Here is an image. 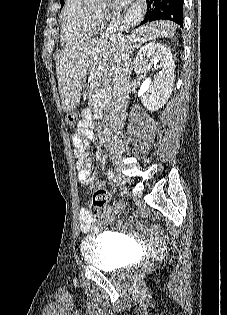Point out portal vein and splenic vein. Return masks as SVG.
Masks as SVG:
<instances>
[{"mask_svg": "<svg viewBox=\"0 0 227 315\" xmlns=\"http://www.w3.org/2000/svg\"><path fill=\"white\" fill-rule=\"evenodd\" d=\"M110 90H111V88L107 87V88L102 89L100 92L96 93L95 96L97 98V102L100 103L102 98L107 97V93L110 92Z\"/></svg>", "mask_w": 227, "mask_h": 315, "instance_id": "portal-vein-and-splenic-vein-1", "label": "portal vein and splenic vein"}]
</instances>
